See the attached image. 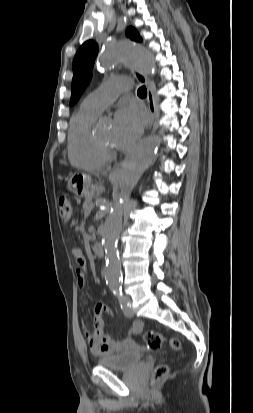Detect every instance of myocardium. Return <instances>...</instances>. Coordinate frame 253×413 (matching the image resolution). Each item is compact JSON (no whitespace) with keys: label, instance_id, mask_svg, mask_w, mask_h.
<instances>
[{"label":"myocardium","instance_id":"myocardium-1","mask_svg":"<svg viewBox=\"0 0 253 413\" xmlns=\"http://www.w3.org/2000/svg\"><path fill=\"white\" fill-rule=\"evenodd\" d=\"M94 142L98 151L106 158H110L114 155V149L112 148L111 144H107L104 141H102L98 137L96 132H94Z\"/></svg>","mask_w":253,"mask_h":413}]
</instances>
